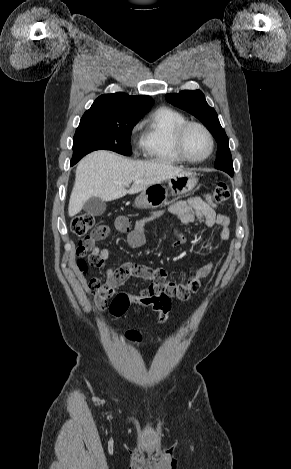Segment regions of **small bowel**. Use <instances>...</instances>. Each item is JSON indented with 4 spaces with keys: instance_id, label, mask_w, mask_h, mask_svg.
<instances>
[{
    "instance_id": "1",
    "label": "small bowel",
    "mask_w": 291,
    "mask_h": 469,
    "mask_svg": "<svg viewBox=\"0 0 291 469\" xmlns=\"http://www.w3.org/2000/svg\"><path fill=\"white\" fill-rule=\"evenodd\" d=\"M168 214L175 216L181 225H187L198 220L209 228L218 226L221 229L220 238L222 240H228L230 237L229 218L216 212V205L208 195H197L187 200L177 201L167 211L159 212L152 217L143 218L134 225L131 224L127 217L119 216L115 219L113 227L117 232L127 234V243L130 247L140 248L145 243V225L149 221L162 219ZM105 227L108 235L109 227ZM185 243V237L181 234L180 229L176 227L174 229L173 246L178 247ZM90 255L101 260L102 265L109 259V252L106 249L94 246L90 250ZM212 270L213 263L207 262L194 270L187 281L175 283L167 280V274L163 268H151L128 262L117 268L105 267L106 282L101 283L98 279L94 278L90 280L89 285L93 282L102 285L101 289L95 293V303L100 309L107 308V301L113 297L115 289L129 279H141L152 282L140 293H127L131 299H136L138 296H147L149 293H167L170 299L176 298L180 301H186L192 294L200 290L202 280L207 278ZM120 314L122 315L123 313L121 312Z\"/></svg>"
}]
</instances>
